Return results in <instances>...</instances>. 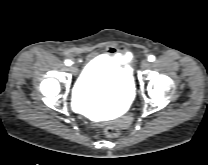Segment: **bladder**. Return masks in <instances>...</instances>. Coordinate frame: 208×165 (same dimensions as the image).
Masks as SVG:
<instances>
[{
  "label": "bladder",
  "instance_id": "31cf9c89",
  "mask_svg": "<svg viewBox=\"0 0 208 165\" xmlns=\"http://www.w3.org/2000/svg\"><path fill=\"white\" fill-rule=\"evenodd\" d=\"M134 94L131 72L117 58H94L80 74L74 90L75 102L87 106H119L130 102Z\"/></svg>",
  "mask_w": 208,
  "mask_h": 165
}]
</instances>
